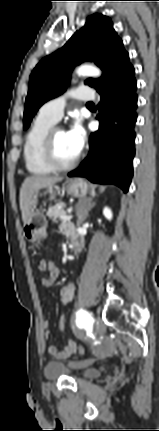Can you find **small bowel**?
Returning a JSON list of instances; mask_svg holds the SVG:
<instances>
[{"mask_svg":"<svg viewBox=\"0 0 159 431\" xmlns=\"http://www.w3.org/2000/svg\"><path fill=\"white\" fill-rule=\"evenodd\" d=\"M62 230L65 234L69 235L70 232L72 231V227L69 225H65V226H63ZM55 267H56L55 272L50 273V272H48L47 261L42 260L40 262L39 271L42 274H44L42 279H41V284L43 286L50 287L53 284L49 283V278L55 277L57 279V277L59 276L60 269L56 264H55ZM73 295H74V284L72 282H69L67 285L62 287L60 290L61 303L63 305L69 304L73 299ZM42 327L45 330V337L48 338L49 337V331H48L49 322L47 320H43L42 321ZM78 350H79V345L74 340H69L67 345L62 349H57V347L54 345H50L47 348L48 354L51 357L58 359V360L66 359V358L70 357L71 355L78 353Z\"/></svg>","mask_w":159,"mask_h":431,"instance_id":"obj_1","label":"small bowel"}]
</instances>
